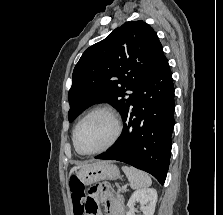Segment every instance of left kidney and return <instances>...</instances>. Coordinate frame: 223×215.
I'll return each mask as SVG.
<instances>
[{
	"label": "left kidney",
	"instance_id": "left-kidney-1",
	"mask_svg": "<svg viewBox=\"0 0 223 215\" xmlns=\"http://www.w3.org/2000/svg\"><path fill=\"white\" fill-rule=\"evenodd\" d=\"M135 201H140L141 211H143L144 215H153L157 201L156 189H153V187L136 189L127 203L128 211L126 215H135V211H137L136 207H134Z\"/></svg>",
	"mask_w": 223,
	"mask_h": 215
}]
</instances>
